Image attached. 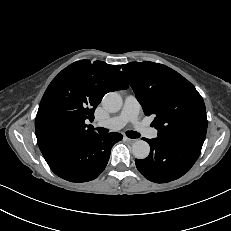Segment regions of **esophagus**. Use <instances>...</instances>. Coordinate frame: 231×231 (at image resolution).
<instances>
[{"mask_svg": "<svg viewBox=\"0 0 231 231\" xmlns=\"http://www.w3.org/2000/svg\"><path fill=\"white\" fill-rule=\"evenodd\" d=\"M125 141H127L128 143L132 144L134 142L137 141V139H132V138H128V137H124Z\"/></svg>", "mask_w": 231, "mask_h": 231, "instance_id": "1", "label": "esophagus"}]
</instances>
